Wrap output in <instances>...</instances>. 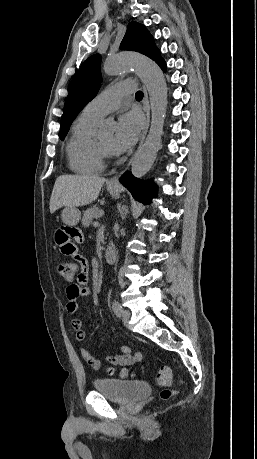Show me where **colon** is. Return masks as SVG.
Returning <instances> with one entry per match:
<instances>
[{
    "mask_svg": "<svg viewBox=\"0 0 257 459\" xmlns=\"http://www.w3.org/2000/svg\"><path fill=\"white\" fill-rule=\"evenodd\" d=\"M79 268H81V264H68L66 260L60 261L56 265V274L60 278L71 282L77 277ZM120 374L125 376L128 372L126 370H122ZM156 383L158 386L163 388L160 392L161 399L169 400L175 393L173 390L168 388L172 383L171 367L164 365L159 368L156 374Z\"/></svg>",
    "mask_w": 257,
    "mask_h": 459,
    "instance_id": "1",
    "label": "colon"
}]
</instances>
